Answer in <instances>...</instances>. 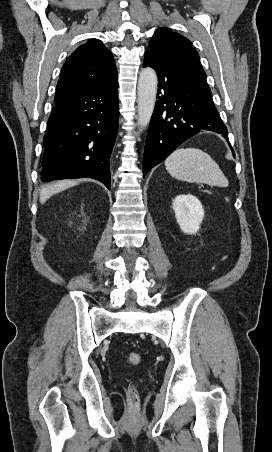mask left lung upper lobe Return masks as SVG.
<instances>
[{
    "label": "left lung upper lobe",
    "instance_id": "left-lung-upper-lobe-1",
    "mask_svg": "<svg viewBox=\"0 0 272 452\" xmlns=\"http://www.w3.org/2000/svg\"><path fill=\"white\" fill-rule=\"evenodd\" d=\"M146 53L159 59L179 64L198 76L206 78L199 55L192 43L169 28H159L155 31Z\"/></svg>",
    "mask_w": 272,
    "mask_h": 452
}]
</instances>
